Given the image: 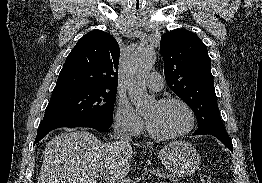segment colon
I'll return each instance as SVG.
<instances>
[{"mask_svg":"<svg viewBox=\"0 0 262 183\" xmlns=\"http://www.w3.org/2000/svg\"><path fill=\"white\" fill-rule=\"evenodd\" d=\"M200 183H211V177L207 174H204L200 177Z\"/></svg>","mask_w":262,"mask_h":183,"instance_id":"5ec220e1","label":"colon"}]
</instances>
